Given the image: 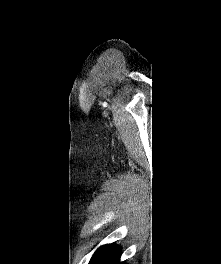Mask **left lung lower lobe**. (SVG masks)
I'll return each instance as SVG.
<instances>
[{"label":"left lung lower lobe","instance_id":"1","mask_svg":"<svg viewBox=\"0 0 221 264\" xmlns=\"http://www.w3.org/2000/svg\"><path fill=\"white\" fill-rule=\"evenodd\" d=\"M89 264H125L120 262V251L114 244L104 245L97 249Z\"/></svg>","mask_w":221,"mask_h":264}]
</instances>
